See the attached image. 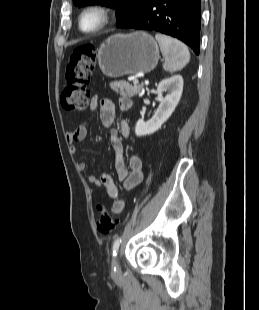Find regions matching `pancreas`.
Returning a JSON list of instances; mask_svg holds the SVG:
<instances>
[{"mask_svg": "<svg viewBox=\"0 0 259 310\" xmlns=\"http://www.w3.org/2000/svg\"><path fill=\"white\" fill-rule=\"evenodd\" d=\"M110 87L116 93H119L122 97H133L141 92L143 85H130L126 81L112 82Z\"/></svg>", "mask_w": 259, "mask_h": 310, "instance_id": "1", "label": "pancreas"}]
</instances>
